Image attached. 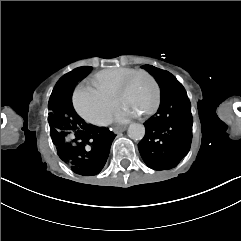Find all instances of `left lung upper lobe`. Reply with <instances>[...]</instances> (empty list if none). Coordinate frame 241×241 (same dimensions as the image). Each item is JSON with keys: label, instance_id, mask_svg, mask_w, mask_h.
<instances>
[{"label": "left lung upper lobe", "instance_id": "left-lung-upper-lobe-1", "mask_svg": "<svg viewBox=\"0 0 241 241\" xmlns=\"http://www.w3.org/2000/svg\"><path fill=\"white\" fill-rule=\"evenodd\" d=\"M142 68L149 71L156 78L161 88V95L172 88L182 87L177 79L167 71H163L151 65H144Z\"/></svg>", "mask_w": 241, "mask_h": 241}]
</instances>
